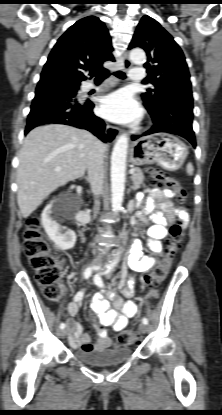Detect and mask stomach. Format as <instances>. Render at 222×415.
I'll return each mask as SVG.
<instances>
[{
    "label": "stomach",
    "mask_w": 222,
    "mask_h": 415,
    "mask_svg": "<svg viewBox=\"0 0 222 415\" xmlns=\"http://www.w3.org/2000/svg\"><path fill=\"white\" fill-rule=\"evenodd\" d=\"M187 156V146L180 139L170 134L157 133L136 140L130 158L134 165L158 163L167 170H177Z\"/></svg>",
    "instance_id": "obj_1"
}]
</instances>
